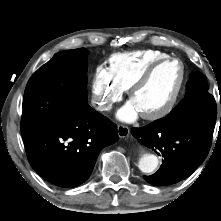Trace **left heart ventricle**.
I'll return each mask as SVG.
<instances>
[{
    "label": "left heart ventricle",
    "instance_id": "b2bd125f",
    "mask_svg": "<svg viewBox=\"0 0 221 221\" xmlns=\"http://www.w3.org/2000/svg\"><path fill=\"white\" fill-rule=\"evenodd\" d=\"M181 78V67L177 62H170L159 67L151 79L132 97L140 113L159 110L171 99Z\"/></svg>",
    "mask_w": 221,
    "mask_h": 221
}]
</instances>
